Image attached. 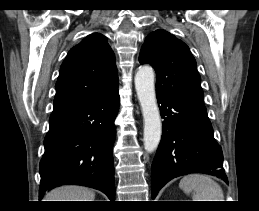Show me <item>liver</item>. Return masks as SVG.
<instances>
[{"label":"liver","mask_w":259,"mask_h":211,"mask_svg":"<svg viewBox=\"0 0 259 211\" xmlns=\"http://www.w3.org/2000/svg\"><path fill=\"white\" fill-rule=\"evenodd\" d=\"M95 194L81 186H62L49 192L46 201H94Z\"/></svg>","instance_id":"6515ba94"}]
</instances>
